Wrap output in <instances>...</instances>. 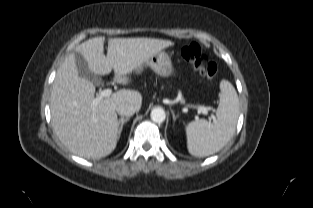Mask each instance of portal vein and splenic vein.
I'll list each match as a JSON object with an SVG mask.
<instances>
[{
	"label": "portal vein and splenic vein",
	"mask_w": 313,
	"mask_h": 208,
	"mask_svg": "<svg viewBox=\"0 0 313 208\" xmlns=\"http://www.w3.org/2000/svg\"><path fill=\"white\" fill-rule=\"evenodd\" d=\"M112 94V90L111 89H104L100 92L99 96L94 99L93 104H97L101 99L105 98V97H109ZM198 112L199 113H203L205 115L208 114L209 108L204 107V106H197ZM212 119H214V117H212Z\"/></svg>",
	"instance_id": "18ae733b"
}]
</instances>
